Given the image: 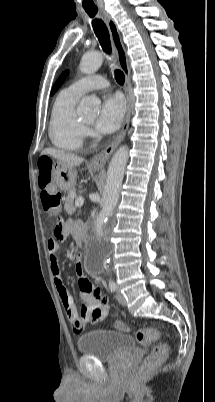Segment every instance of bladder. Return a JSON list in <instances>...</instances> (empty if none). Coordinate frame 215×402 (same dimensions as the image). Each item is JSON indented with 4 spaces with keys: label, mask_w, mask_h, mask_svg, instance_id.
I'll use <instances>...</instances> for the list:
<instances>
[{
    "label": "bladder",
    "mask_w": 215,
    "mask_h": 402,
    "mask_svg": "<svg viewBox=\"0 0 215 402\" xmlns=\"http://www.w3.org/2000/svg\"><path fill=\"white\" fill-rule=\"evenodd\" d=\"M81 353L101 362H113L135 348L132 336L112 330L97 329L82 334L77 341Z\"/></svg>",
    "instance_id": "31cf9c89"
}]
</instances>
